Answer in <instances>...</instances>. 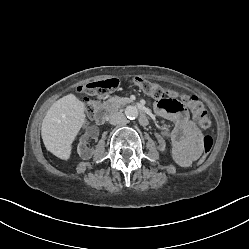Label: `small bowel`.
Instances as JSON below:
<instances>
[{"mask_svg": "<svg viewBox=\"0 0 249 249\" xmlns=\"http://www.w3.org/2000/svg\"><path fill=\"white\" fill-rule=\"evenodd\" d=\"M169 102L159 100L155 104L157 115L170 119L174 122L171 130L163 129L159 139L169 140L176 162L183 167L189 166L194 161L201 149L203 136L197 125L190 119L186 99L195 96H188L168 89Z\"/></svg>", "mask_w": 249, "mask_h": 249, "instance_id": "1", "label": "small bowel"}]
</instances>
